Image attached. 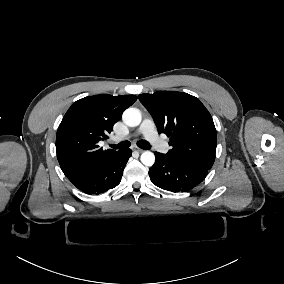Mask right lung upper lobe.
Listing matches in <instances>:
<instances>
[{
  "instance_id": "right-lung-upper-lobe-1",
  "label": "right lung upper lobe",
  "mask_w": 284,
  "mask_h": 284,
  "mask_svg": "<svg viewBox=\"0 0 284 284\" xmlns=\"http://www.w3.org/2000/svg\"><path fill=\"white\" fill-rule=\"evenodd\" d=\"M136 100L135 95L101 94L82 98L68 109L57 130L56 152L62 171L75 186L118 152L98 148L97 143Z\"/></svg>"
}]
</instances>
